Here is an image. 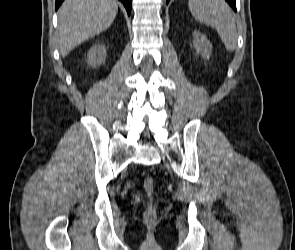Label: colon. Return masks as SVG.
<instances>
[{
    "label": "colon",
    "instance_id": "obj_1",
    "mask_svg": "<svg viewBox=\"0 0 295 250\" xmlns=\"http://www.w3.org/2000/svg\"><path fill=\"white\" fill-rule=\"evenodd\" d=\"M143 187L147 195L153 199L155 181L152 176H146L143 181ZM144 218L147 222L152 223L156 219V207L154 204H150L144 213Z\"/></svg>",
    "mask_w": 295,
    "mask_h": 250
}]
</instances>
